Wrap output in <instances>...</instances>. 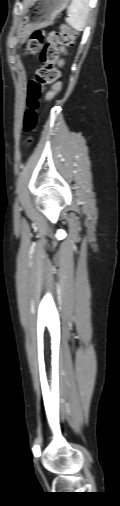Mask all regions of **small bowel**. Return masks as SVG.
I'll use <instances>...</instances> for the list:
<instances>
[{
  "label": "small bowel",
  "instance_id": "obj_1",
  "mask_svg": "<svg viewBox=\"0 0 120 506\" xmlns=\"http://www.w3.org/2000/svg\"><path fill=\"white\" fill-rule=\"evenodd\" d=\"M60 88V85L57 84L54 86L53 88V91H50L48 94H47V98L50 99L55 93L56 91Z\"/></svg>",
  "mask_w": 120,
  "mask_h": 506
}]
</instances>
